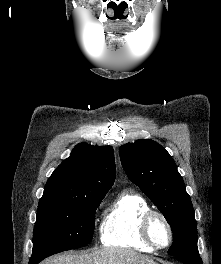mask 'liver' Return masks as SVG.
Wrapping results in <instances>:
<instances>
[{"mask_svg":"<svg viewBox=\"0 0 221 264\" xmlns=\"http://www.w3.org/2000/svg\"><path fill=\"white\" fill-rule=\"evenodd\" d=\"M154 261L132 250L103 248L90 253H64L54 256L41 264H147Z\"/></svg>","mask_w":221,"mask_h":264,"instance_id":"obj_1","label":"liver"}]
</instances>
